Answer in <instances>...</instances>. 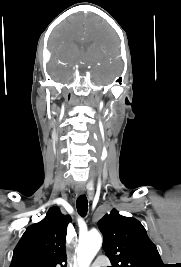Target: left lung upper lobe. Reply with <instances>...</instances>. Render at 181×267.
<instances>
[{
    "label": "left lung upper lobe",
    "instance_id": "obj_1",
    "mask_svg": "<svg viewBox=\"0 0 181 267\" xmlns=\"http://www.w3.org/2000/svg\"><path fill=\"white\" fill-rule=\"evenodd\" d=\"M98 227L111 267H164L156 246L135 218L112 210L98 222Z\"/></svg>",
    "mask_w": 181,
    "mask_h": 267
}]
</instances>
